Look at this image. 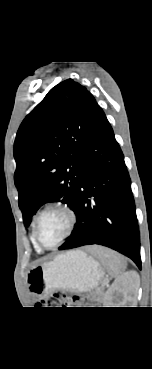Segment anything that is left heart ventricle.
<instances>
[{
  "instance_id": "obj_1",
  "label": "left heart ventricle",
  "mask_w": 152,
  "mask_h": 369,
  "mask_svg": "<svg viewBox=\"0 0 152 369\" xmlns=\"http://www.w3.org/2000/svg\"><path fill=\"white\" fill-rule=\"evenodd\" d=\"M67 228L66 215L57 209L47 211L40 219L38 237L45 246L57 242Z\"/></svg>"
}]
</instances>
